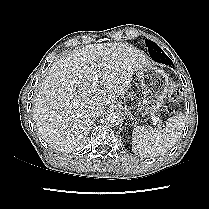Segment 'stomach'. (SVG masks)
<instances>
[{"label":"stomach","instance_id":"obj_1","mask_svg":"<svg viewBox=\"0 0 209 209\" xmlns=\"http://www.w3.org/2000/svg\"><path fill=\"white\" fill-rule=\"evenodd\" d=\"M137 74L142 87L139 112L144 116L154 114L164 105L170 92L168 75L164 70L153 66H142Z\"/></svg>","mask_w":209,"mask_h":209}]
</instances>
